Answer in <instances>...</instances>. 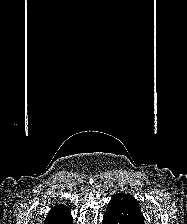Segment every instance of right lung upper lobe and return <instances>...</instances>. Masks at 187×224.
Listing matches in <instances>:
<instances>
[{
	"instance_id": "right-lung-upper-lobe-1",
	"label": "right lung upper lobe",
	"mask_w": 187,
	"mask_h": 224,
	"mask_svg": "<svg viewBox=\"0 0 187 224\" xmlns=\"http://www.w3.org/2000/svg\"><path fill=\"white\" fill-rule=\"evenodd\" d=\"M68 212H69V209L65 205L63 204L56 205L49 211L47 218L45 220V223L53 220L56 217L62 216Z\"/></svg>"
}]
</instances>
